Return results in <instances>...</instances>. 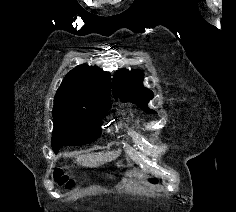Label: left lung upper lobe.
<instances>
[{
	"instance_id": "obj_1",
	"label": "left lung upper lobe",
	"mask_w": 236,
	"mask_h": 212,
	"mask_svg": "<svg viewBox=\"0 0 236 212\" xmlns=\"http://www.w3.org/2000/svg\"><path fill=\"white\" fill-rule=\"evenodd\" d=\"M143 74L139 70H119L113 77V96L136 103L147 113H156L147 103L153 98L151 90L143 86Z\"/></svg>"
}]
</instances>
